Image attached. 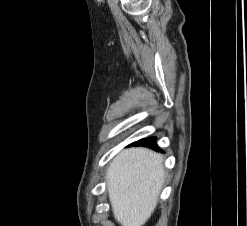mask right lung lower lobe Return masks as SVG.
I'll use <instances>...</instances> for the list:
<instances>
[{
    "mask_svg": "<svg viewBox=\"0 0 247 226\" xmlns=\"http://www.w3.org/2000/svg\"><path fill=\"white\" fill-rule=\"evenodd\" d=\"M133 145H141V146H146V147H149L152 149L159 150L157 145H156V138L155 137L141 139V140L133 143Z\"/></svg>",
    "mask_w": 247,
    "mask_h": 226,
    "instance_id": "obj_1",
    "label": "right lung lower lobe"
}]
</instances>
